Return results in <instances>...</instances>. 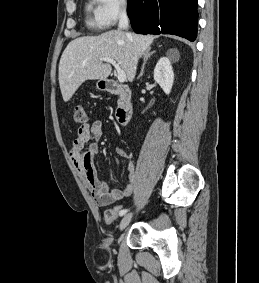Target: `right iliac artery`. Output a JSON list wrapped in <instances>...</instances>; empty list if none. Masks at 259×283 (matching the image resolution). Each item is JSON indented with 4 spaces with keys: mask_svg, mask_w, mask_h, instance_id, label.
Wrapping results in <instances>:
<instances>
[{
    "mask_svg": "<svg viewBox=\"0 0 259 283\" xmlns=\"http://www.w3.org/2000/svg\"><path fill=\"white\" fill-rule=\"evenodd\" d=\"M128 210H129V209H123V210H121L120 213H119V215H120V216L125 215V214L128 212Z\"/></svg>",
    "mask_w": 259,
    "mask_h": 283,
    "instance_id": "obj_1",
    "label": "right iliac artery"
}]
</instances>
